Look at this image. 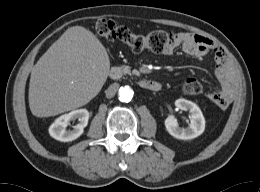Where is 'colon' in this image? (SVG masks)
<instances>
[{
	"instance_id": "5ec220e1",
	"label": "colon",
	"mask_w": 260,
	"mask_h": 192,
	"mask_svg": "<svg viewBox=\"0 0 260 192\" xmlns=\"http://www.w3.org/2000/svg\"><path fill=\"white\" fill-rule=\"evenodd\" d=\"M96 32L107 40H119L135 51L149 49L162 52L176 39L177 34L167 30H154L147 34H137L110 18H102L96 22ZM202 85L194 78H189L183 84V92L188 95L199 94Z\"/></svg>"
}]
</instances>
